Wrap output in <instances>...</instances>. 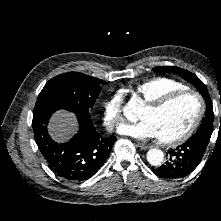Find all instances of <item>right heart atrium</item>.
<instances>
[{"mask_svg": "<svg viewBox=\"0 0 221 221\" xmlns=\"http://www.w3.org/2000/svg\"><path fill=\"white\" fill-rule=\"evenodd\" d=\"M123 94L116 92L104 104L103 121L109 130L116 129L123 122Z\"/></svg>", "mask_w": 221, "mask_h": 221, "instance_id": "1", "label": "right heart atrium"}]
</instances>
